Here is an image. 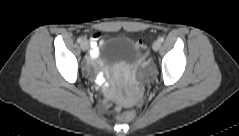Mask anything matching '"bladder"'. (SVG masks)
<instances>
[{"label":"bladder","instance_id":"31cf9c89","mask_svg":"<svg viewBox=\"0 0 239 136\" xmlns=\"http://www.w3.org/2000/svg\"><path fill=\"white\" fill-rule=\"evenodd\" d=\"M144 51L128 36L108 39L100 50L98 63L102 68L111 69L124 64L133 73L143 63Z\"/></svg>","mask_w":239,"mask_h":136}]
</instances>
